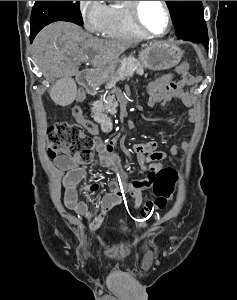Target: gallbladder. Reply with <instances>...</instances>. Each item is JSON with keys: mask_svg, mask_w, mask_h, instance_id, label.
I'll return each instance as SVG.
<instances>
[{"mask_svg": "<svg viewBox=\"0 0 237 300\" xmlns=\"http://www.w3.org/2000/svg\"><path fill=\"white\" fill-rule=\"evenodd\" d=\"M76 88L73 76H58V84L51 90L52 101L55 105H72L75 99Z\"/></svg>", "mask_w": 237, "mask_h": 300, "instance_id": "obj_1", "label": "gallbladder"}]
</instances>
